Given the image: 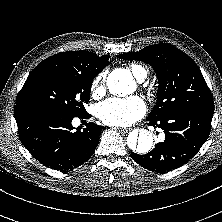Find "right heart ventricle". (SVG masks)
Instances as JSON below:
<instances>
[{"label": "right heart ventricle", "instance_id": "right-heart-ventricle-1", "mask_svg": "<svg viewBox=\"0 0 222 222\" xmlns=\"http://www.w3.org/2000/svg\"><path fill=\"white\" fill-rule=\"evenodd\" d=\"M130 71L133 73V75L139 79L142 80L147 76L148 70L144 66L140 64L133 63L129 66Z\"/></svg>", "mask_w": 222, "mask_h": 222}]
</instances>
